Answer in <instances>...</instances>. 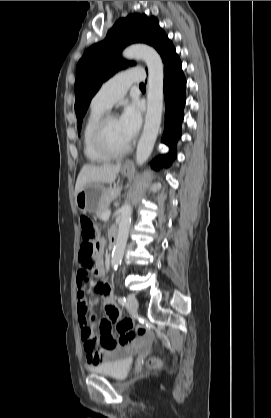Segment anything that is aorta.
I'll return each mask as SVG.
<instances>
[{
    "instance_id": "762f6f07",
    "label": "aorta",
    "mask_w": 271,
    "mask_h": 418,
    "mask_svg": "<svg viewBox=\"0 0 271 418\" xmlns=\"http://www.w3.org/2000/svg\"><path fill=\"white\" fill-rule=\"evenodd\" d=\"M124 58H138L146 63L148 69L147 112L143 133L136 150V163L143 165L151 155L162 119L163 110V62L158 52L150 46L136 44L126 48L122 53ZM118 236L112 252L111 266L116 269L123 258L131 223L132 207L125 203L121 210Z\"/></svg>"
}]
</instances>
